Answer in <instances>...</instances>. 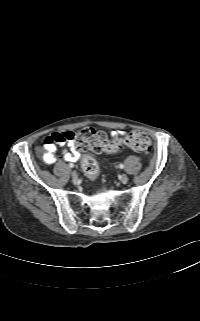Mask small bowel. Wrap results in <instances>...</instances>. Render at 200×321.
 Here are the masks:
<instances>
[{"instance_id":"small-bowel-1","label":"small bowel","mask_w":200,"mask_h":321,"mask_svg":"<svg viewBox=\"0 0 200 321\" xmlns=\"http://www.w3.org/2000/svg\"><path fill=\"white\" fill-rule=\"evenodd\" d=\"M125 134L124 129H115L110 132V137L117 141ZM58 146L63 148L62 158L65 161L76 162L80 158V149L73 138V132H55L49 135L44 141L42 158L45 163L53 164L57 161L56 150Z\"/></svg>"}]
</instances>
